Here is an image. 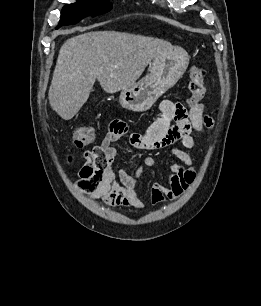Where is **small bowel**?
Instances as JSON below:
<instances>
[{
  "instance_id": "1",
  "label": "small bowel",
  "mask_w": 261,
  "mask_h": 306,
  "mask_svg": "<svg viewBox=\"0 0 261 306\" xmlns=\"http://www.w3.org/2000/svg\"><path fill=\"white\" fill-rule=\"evenodd\" d=\"M212 126V119L205 114V105L197 103L187 110L181 103L164 100L160 104V115L144 132L129 134L122 121L111 123L104 136L101 147L105 151L107 163L104 168L97 169L93 162L86 158L79 170V176L91 182L93 187L87 189L91 199H102L109 207L125 206L143 209L144 203L137 194L138 180L145 168L156 163L152 156H146L132 174L124 170L116 171L114 160L117 149L112 144L129 136L130 144L140 150H156L170 147V154L182 164L170 167L168 184L154 182L150 187V198L153 204H161L179 198L193 182L195 171L190 154L195 147L192 134L203 133ZM180 144L183 148L175 146Z\"/></svg>"
}]
</instances>
